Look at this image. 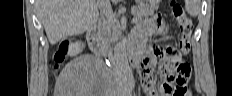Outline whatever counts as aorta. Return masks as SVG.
I'll return each mask as SVG.
<instances>
[{"instance_id": "obj_1", "label": "aorta", "mask_w": 232, "mask_h": 96, "mask_svg": "<svg viewBox=\"0 0 232 96\" xmlns=\"http://www.w3.org/2000/svg\"><path fill=\"white\" fill-rule=\"evenodd\" d=\"M114 58L116 62V66L121 74L125 76H129L131 74V70L129 67L127 54H126V41L121 40L115 47Z\"/></svg>"}]
</instances>
